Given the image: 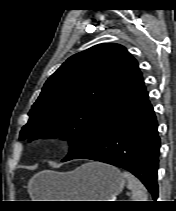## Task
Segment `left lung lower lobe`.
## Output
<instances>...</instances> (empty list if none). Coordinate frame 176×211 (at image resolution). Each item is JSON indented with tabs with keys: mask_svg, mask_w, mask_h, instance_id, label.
Returning a JSON list of instances; mask_svg holds the SVG:
<instances>
[{
	"mask_svg": "<svg viewBox=\"0 0 176 211\" xmlns=\"http://www.w3.org/2000/svg\"><path fill=\"white\" fill-rule=\"evenodd\" d=\"M159 149L157 120L145 91L109 116L89 145L72 159L124 168L138 177L156 200Z\"/></svg>",
	"mask_w": 176,
	"mask_h": 211,
	"instance_id": "left-lung-lower-lobe-1",
	"label": "left lung lower lobe"
}]
</instances>
